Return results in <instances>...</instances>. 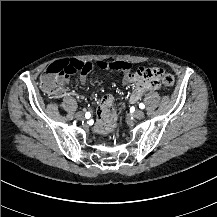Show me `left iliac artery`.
Here are the masks:
<instances>
[{"label": "left iliac artery", "instance_id": "44dca946", "mask_svg": "<svg viewBox=\"0 0 217 217\" xmlns=\"http://www.w3.org/2000/svg\"><path fill=\"white\" fill-rule=\"evenodd\" d=\"M139 107H140L141 109H144V108H145V105H144L143 103H140V104H139Z\"/></svg>", "mask_w": 217, "mask_h": 217}]
</instances>
